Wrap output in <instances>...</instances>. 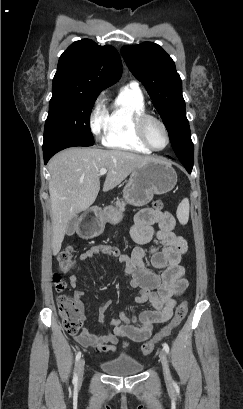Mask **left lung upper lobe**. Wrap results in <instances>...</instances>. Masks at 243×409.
<instances>
[{
	"instance_id": "left-lung-upper-lobe-1",
	"label": "left lung upper lobe",
	"mask_w": 243,
	"mask_h": 409,
	"mask_svg": "<svg viewBox=\"0 0 243 409\" xmlns=\"http://www.w3.org/2000/svg\"><path fill=\"white\" fill-rule=\"evenodd\" d=\"M121 54L132 74L145 86L182 164L193 165L194 148L182 96V81L174 61L157 44L126 45Z\"/></svg>"
}]
</instances>
